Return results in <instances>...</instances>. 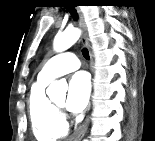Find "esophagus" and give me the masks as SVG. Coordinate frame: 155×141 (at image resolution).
Masks as SVG:
<instances>
[{
	"label": "esophagus",
	"instance_id": "esophagus-1",
	"mask_svg": "<svg viewBox=\"0 0 155 141\" xmlns=\"http://www.w3.org/2000/svg\"><path fill=\"white\" fill-rule=\"evenodd\" d=\"M77 13L79 15V26H80V29H81L80 40L83 43V45L86 46L90 50L88 37H87V32H86V24H85V21H84V16H83V14H82V12H81V10L79 8H77ZM90 63H91V65L93 64V55H92L91 52H90ZM89 122H90V116H88L85 119L84 123L78 128L77 132L74 135L75 140H81L84 137V135H85V133H86V131L88 129Z\"/></svg>",
	"mask_w": 155,
	"mask_h": 141
}]
</instances>
